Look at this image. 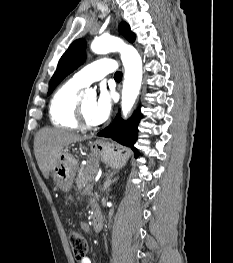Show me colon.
I'll use <instances>...</instances> for the list:
<instances>
[{
    "label": "colon",
    "instance_id": "1",
    "mask_svg": "<svg viewBox=\"0 0 233 263\" xmlns=\"http://www.w3.org/2000/svg\"><path fill=\"white\" fill-rule=\"evenodd\" d=\"M68 238L74 258L78 261L85 258L88 250V244L85 237L78 231H70Z\"/></svg>",
    "mask_w": 233,
    "mask_h": 263
}]
</instances>
